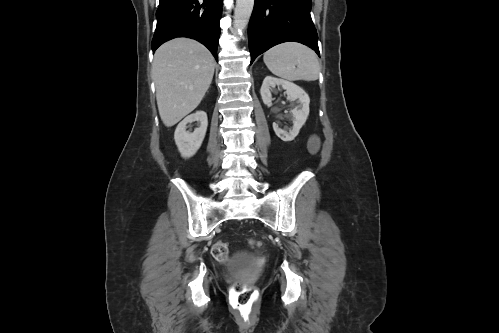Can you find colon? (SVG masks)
Segmentation results:
<instances>
[{
	"mask_svg": "<svg viewBox=\"0 0 499 333\" xmlns=\"http://www.w3.org/2000/svg\"><path fill=\"white\" fill-rule=\"evenodd\" d=\"M320 148V139L313 135L309 140V150L312 154H316ZM212 256L217 261H226L228 258V244L224 240H219L212 246ZM254 291L247 287L243 281H238L232 287L230 293V304L242 316H249L256 302Z\"/></svg>",
	"mask_w": 499,
	"mask_h": 333,
	"instance_id": "1",
	"label": "colon"
}]
</instances>
